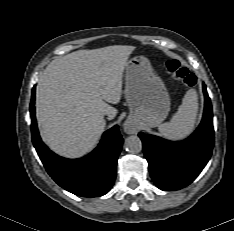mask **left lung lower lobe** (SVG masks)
Segmentation results:
<instances>
[{
	"mask_svg": "<svg viewBox=\"0 0 234 231\" xmlns=\"http://www.w3.org/2000/svg\"><path fill=\"white\" fill-rule=\"evenodd\" d=\"M204 115L196 131L181 142H168L159 137L139 133L144 155L155 184L164 191L179 190L189 185L209 161L214 128L211 101L203 84Z\"/></svg>",
	"mask_w": 234,
	"mask_h": 231,
	"instance_id": "0a47b994",
	"label": "left lung lower lobe"
}]
</instances>
